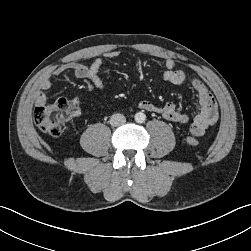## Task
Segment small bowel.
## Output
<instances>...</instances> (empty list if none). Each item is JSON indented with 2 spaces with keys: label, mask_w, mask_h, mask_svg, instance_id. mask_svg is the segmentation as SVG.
<instances>
[{
  "label": "small bowel",
  "mask_w": 251,
  "mask_h": 251,
  "mask_svg": "<svg viewBox=\"0 0 251 251\" xmlns=\"http://www.w3.org/2000/svg\"><path fill=\"white\" fill-rule=\"evenodd\" d=\"M117 51H109L104 54L107 59H113L118 56ZM103 65V58H96L90 65H84L81 63L71 62L67 63L54 71L55 75H62L67 71H72L73 75L77 79L88 80L95 88L104 89V82L101 79L99 72ZM165 71L163 73V79L174 85H181L186 82L190 83L193 89L196 91L198 97L197 112L191 122V132L193 135L201 136L204 132L213 125L218 119V106L210 93L209 89L199 79L187 75L182 70L175 69V62L172 59L166 58L164 60ZM52 86L51 80L46 77L43 78L39 84L41 91L36 94V103L42 104L46 102V95L43 91L50 89ZM79 108V100L73 98L71 100ZM139 107L161 114L165 119L177 123L187 124L190 122L189 116L180 111L173 102H167L164 105H156L149 100H142L139 102Z\"/></svg>",
  "instance_id": "small-bowel-1"
}]
</instances>
